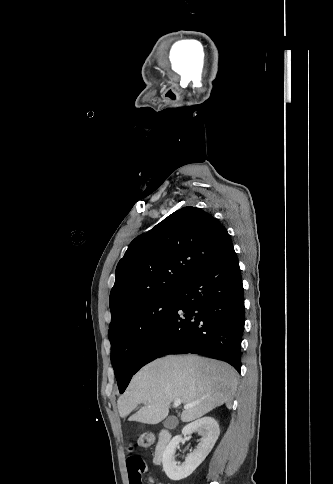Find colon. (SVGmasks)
Here are the masks:
<instances>
[{
    "label": "colon",
    "instance_id": "5ec220e1",
    "mask_svg": "<svg viewBox=\"0 0 333 484\" xmlns=\"http://www.w3.org/2000/svg\"><path fill=\"white\" fill-rule=\"evenodd\" d=\"M155 436L151 432H144L138 438V445L142 448H148L153 445Z\"/></svg>",
    "mask_w": 333,
    "mask_h": 484
}]
</instances>
